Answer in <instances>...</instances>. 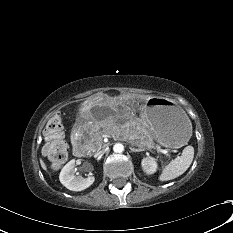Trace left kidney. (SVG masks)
<instances>
[{
    "label": "left kidney",
    "mask_w": 233,
    "mask_h": 233,
    "mask_svg": "<svg viewBox=\"0 0 233 233\" xmlns=\"http://www.w3.org/2000/svg\"><path fill=\"white\" fill-rule=\"evenodd\" d=\"M142 168L147 174H153L157 169V162L152 157H147L142 160Z\"/></svg>",
    "instance_id": "obj_1"
}]
</instances>
